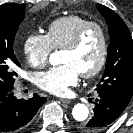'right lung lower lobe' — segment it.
I'll return each instance as SVG.
<instances>
[{"label":"right lung lower lobe","mask_w":133,"mask_h":133,"mask_svg":"<svg viewBox=\"0 0 133 133\" xmlns=\"http://www.w3.org/2000/svg\"><path fill=\"white\" fill-rule=\"evenodd\" d=\"M46 98L17 99L12 90L0 93V132L20 131L28 126Z\"/></svg>","instance_id":"98d812e1"}]
</instances>
